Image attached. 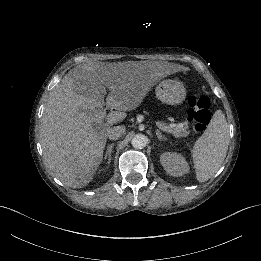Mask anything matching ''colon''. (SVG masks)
<instances>
[{
	"mask_svg": "<svg viewBox=\"0 0 261 261\" xmlns=\"http://www.w3.org/2000/svg\"><path fill=\"white\" fill-rule=\"evenodd\" d=\"M187 105L186 119L192 130L196 133L204 131L211 118L210 99L205 95H193L188 98Z\"/></svg>",
	"mask_w": 261,
	"mask_h": 261,
	"instance_id": "colon-1",
	"label": "colon"
}]
</instances>
